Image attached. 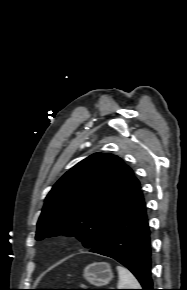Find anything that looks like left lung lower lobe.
<instances>
[{
	"label": "left lung lower lobe",
	"instance_id": "1",
	"mask_svg": "<svg viewBox=\"0 0 187 290\" xmlns=\"http://www.w3.org/2000/svg\"><path fill=\"white\" fill-rule=\"evenodd\" d=\"M90 251L117 260L135 275L142 290H154L150 231L140 189L103 241Z\"/></svg>",
	"mask_w": 187,
	"mask_h": 290
}]
</instances>
